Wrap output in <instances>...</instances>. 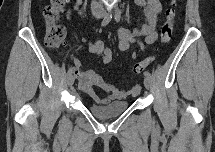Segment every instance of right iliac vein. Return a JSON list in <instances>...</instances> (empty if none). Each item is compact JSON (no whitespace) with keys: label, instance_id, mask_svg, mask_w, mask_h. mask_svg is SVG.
<instances>
[{"label":"right iliac vein","instance_id":"obj_1","mask_svg":"<svg viewBox=\"0 0 215 152\" xmlns=\"http://www.w3.org/2000/svg\"><path fill=\"white\" fill-rule=\"evenodd\" d=\"M96 18H100V15H95ZM68 85L71 87L74 84V77L73 75H68V79H67Z\"/></svg>","mask_w":215,"mask_h":152}]
</instances>
